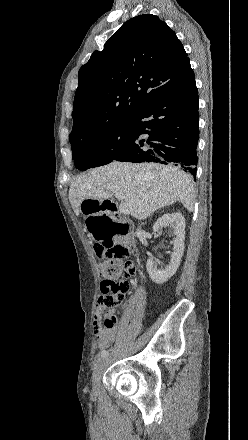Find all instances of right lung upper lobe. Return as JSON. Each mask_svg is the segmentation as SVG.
<instances>
[{
    "mask_svg": "<svg viewBox=\"0 0 248 440\" xmlns=\"http://www.w3.org/2000/svg\"><path fill=\"white\" fill-rule=\"evenodd\" d=\"M78 75L72 139L99 135L131 119L151 100L195 81L175 32L151 14L125 22Z\"/></svg>",
    "mask_w": 248,
    "mask_h": 440,
    "instance_id": "1",
    "label": "right lung upper lobe"
}]
</instances>
